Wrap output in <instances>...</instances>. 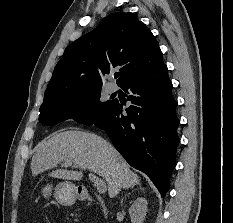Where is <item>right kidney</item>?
Listing matches in <instances>:
<instances>
[{
	"instance_id": "right-kidney-1",
	"label": "right kidney",
	"mask_w": 233,
	"mask_h": 223,
	"mask_svg": "<svg viewBox=\"0 0 233 223\" xmlns=\"http://www.w3.org/2000/svg\"><path fill=\"white\" fill-rule=\"evenodd\" d=\"M147 211V199L137 197L134 203L129 207V213L132 223H143Z\"/></svg>"
}]
</instances>
